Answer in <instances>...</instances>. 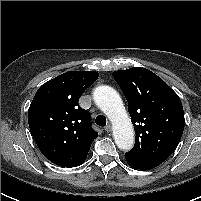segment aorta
<instances>
[{
	"label": "aorta",
	"instance_id": "1",
	"mask_svg": "<svg viewBox=\"0 0 201 201\" xmlns=\"http://www.w3.org/2000/svg\"><path fill=\"white\" fill-rule=\"evenodd\" d=\"M93 99L113 125L115 143L119 149L129 151L134 144V129L118 92L107 85L95 88Z\"/></svg>",
	"mask_w": 201,
	"mask_h": 201
}]
</instances>
